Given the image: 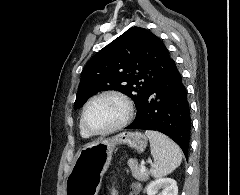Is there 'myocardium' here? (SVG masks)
<instances>
[{
	"instance_id": "1",
	"label": "myocardium",
	"mask_w": 240,
	"mask_h": 195,
	"mask_svg": "<svg viewBox=\"0 0 240 195\" xmlns=\"http://www.w3.org/2000/svg\"><path fill=\"white\" fill-rule=\"evenodd\" d=\"M106 97H115L123 102L124 107H125L124 116L118 123H116L115 125H113L111 127H108V128L102 129V130H98V131L89 130L85 124V117H86V113H87L89 107L96 101L106 98ZM133 116H134V106H133L132 100L130 99V97L128 95H126L123 92L117 91V90H106V91L96 94L86 103V105L83 108L82 115H81V127L88 136L107 135V134L119 131L122 128H124L125 126H127L129 124V122L132 120Z\"/></svg>"
}]
</instances>
